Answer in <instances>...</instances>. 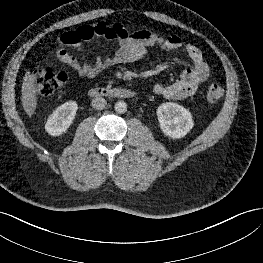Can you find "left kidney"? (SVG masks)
I'll return each mask as SVG.
<instances>
[{
	"instance_id": "1",
	"label": "left kidney",
	"mask_w": 263,
	"mask_h": 263,
	"mask_svg": "<svg viewBox=\"0 0 263 263\" xmlns=\"http://www.w3.org/2000/svg\"><path fill=\"white\" fill-rule=\"evenodd\" d=\"M156 113L160 129L172 139L184 137L194 126L192 114L177 103H163Z\"/></svg>"
}]
</instances>
